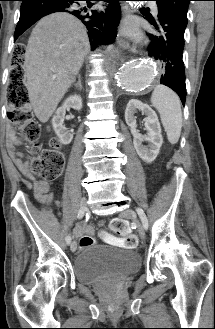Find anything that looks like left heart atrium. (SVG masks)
I'll list each match as a JSON object with an SVG mask.
<instances>
[{
    "instance_id": "left-heart-atrium-1",
    "label": "left heart atrium",
    "mask_w": 215,
    "mask_h": 329,
    "mask_svg": "<svg viewBox=\"0 0 215 329\" xmlns=\"http://www.w3.org/2000/svg\"><path fill=\"white\" fill-rule=\"evenodd\" d=\"M122 31L125 34L132 36V37H135L138 35L137 27L133 21L125 22L124 25L122 26Z\"/></svg>"
}]
</instances>
